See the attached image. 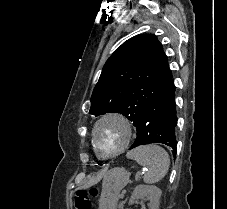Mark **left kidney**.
Here are the masks:
<instances>
[{"instance_id": "left-kidney-1", "label": "left kidney", "mask_w": 227, "mask_h": 209, "mask_svg": "<svg viewBox=\"0 0 227 209\" xmlns=\"http://www.w3.org/2000/svg\"><path fill=\"white\" fill-rule=\"evenodd\" d=\"M161 195L160 189L154 187V185H151V187L149 185H137L131 195L129 205H133L135 199H144V201H149V209H159Z\"/></svg>"}]
</instances>
